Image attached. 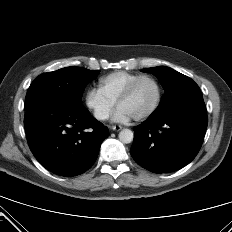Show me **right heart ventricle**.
I'll list each match as a JSON object with an SVG mask.
<instances>
[{
  "mask_svg": "<svg viewBox=\"0 0 232 232\" xmlns=\"http://www.w3.org/2000/svg\"><path fill=\"white\" fill-rule=\"evenodd\" d=\"M140 75L126 71L113 72L99 79L98 89L109 101L115 104L130 83Z\"/></svg>",
  "mask_w": 232,
  "mask_h": 232,
  "instance_id": "1",
  "label": "right heart ventricle"
}]
</instances>
